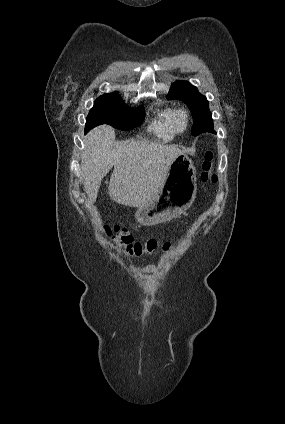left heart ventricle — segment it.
Listing matches in <instances>:
<instances>
[{
    "mask_svg": "<svg viewBox=\"0 0 285 424\" xmlns=\"http://www.w3.org/2000/svg\"><path fill=\"white\" fill-rule=\"evenodd\" d=\"M185 124L184 119L182 117L179 118V125L183 127Z\"/></svg>",
    "mask_w": 285,
    "mask_h": 424,
    "instance_id": "left-heart-ventricle-1",
    "label": "left heart ventricle"
}]
</instances>
